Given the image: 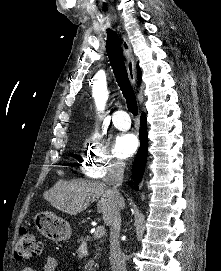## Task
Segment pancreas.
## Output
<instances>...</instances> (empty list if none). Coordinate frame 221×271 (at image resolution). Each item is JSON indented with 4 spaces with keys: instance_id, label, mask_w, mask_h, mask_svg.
<instances>
[{
    "instance_id": "obj_1",
    "label": "pancreas",
    "mask_w": 221,
    "mask_h": 271,
    "mask_svg": "<svg viewBox=\"0 0 221 271\" xmlns=\"http://www.w3.org/2000/svg\"><path fill=\"white\" fill-rule=\"evenodd\" d=\"M77 241L78 242H88L89 238L88 237H78ZM98 249H100V251H101V247H98ZM96 257H97V255H95V257H92V259H89L88 263H85V267H87L88 271H91V269H93L92 265H94Z\"/></svg>"
}]
</instances>
